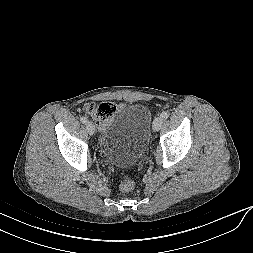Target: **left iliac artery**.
Returning <instances> with one entry per match:
<instances>
[{
  "instance_id": "44dca946",
  "label": "left iliac artery",
  "mask_w": 253,
  "mask_h": 253,
  "mask_svg": "<svg viewBox=\"0 0 253 253\" xmlns=\"http://www.w3.org/2000/svg\"><path fill=\"white\" fill-rule=\"evenodd\" d=\"M161 117H162L163 119H167V118L169 117V112H167V111L162 112V113H161Z\"/></svg>"
}]
</instances>
